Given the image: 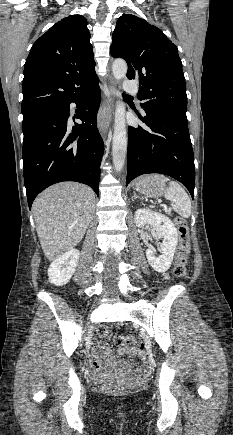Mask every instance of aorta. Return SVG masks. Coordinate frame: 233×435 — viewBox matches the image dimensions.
Segmentation results:
<instances>
[{
  "mask_svg": "<svg viewBox=\"0 0 233 435\" xmlns=\"http://www.w3.org/2000/svg\"><path fill=\"white\" fill-rule=\"evenodd\" d=\"M127 64L122 59H116L112 65V73L116 80H121L126 76ZM126 109L124 104L118 102L115 111V126L112 145V156L114 168L117 172L121 171L127 152V130L125 120Z\"/></svg>",
  "mask_w": 233,
  "mask_h": 435,
  "instance_id": "1",
  "label": "aorta"
}]
</instances>
